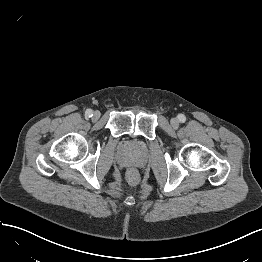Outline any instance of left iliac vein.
<instances>
[{"label": "left iliac vein", "instance_id": "1", "mask_svg": "<svg viewBox=\"0 0 262 262\" xmlns=\"http://www.w3.org/2000/svg\"><path fill=\"white\" fill-rule=\"evenodd\" d=\"M171 125L173 128H177L179 126V121L176 118L171 119Z\"/></svg>", "mask_w": 262, "mask_h": 262}]
</instances>
